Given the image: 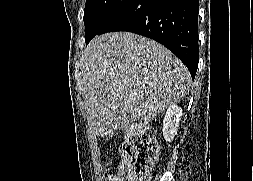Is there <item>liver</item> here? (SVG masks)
<instances>
[{"label":"liver","instance_id":"1","mask_svg":"<svg viewBox=\"0 0 253 181\" xmlns=\"http://www.w3.org/2000/svg\"><path fill=\"white\" fill-rule=\"evenodd\" d=\"M81 74L88 123L102 137L147 124L186 95L190 80L168 49L129 32L95 37L83 52Z\"/></svg>","mask_w":253,"mask_h":181}]
</instances>
